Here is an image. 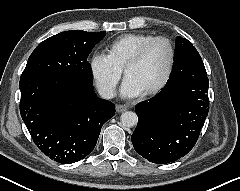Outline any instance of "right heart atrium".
Returning a JSON list of instances; mask_svg holds the SVG:
<instances>
[{
  "label": "right heart atrium",
  "mask_w": 240,
  "mask_h": 191,
  "mask_svg": "<svg viewBox=\"0 0 240 191\" xmlns=\"http://www.w3.org/2000/svg\"><path fill=\"white\" fill-rule=\"evenodd\" d=\"M89 69L99 92L104 97L112 98L116 93L122 70L111 61L108 55L103 53H94L91 56Z\"/></svg>",
  "instance_id": "d8ad5b80"
}]
</instances>
